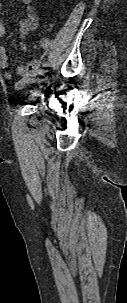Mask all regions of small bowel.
<instances>
[{
  "label": "small bowel",
  "instance_id": "small-bowel-1",
  "mask_svg": "<svg viewBox=\"0 0 127 303\" xmlns=\"http://www.w3.org/2000/svg\"><path fill=\"white\" fill-rule=\"evenodd\" d=\"M20 3L24 6L26 17L23 19L19 24V31L21 33H26L30 30H33L38 25V20L36 16L33 13L31 2L32 0H19ZM0 9H1V3H0ZM5 35V28L0 20V40ZM22 50H25V45L21 46ZM39 48L42 51L40 56L33 59L31 62L24 66H20L17 69V77L14 76V74L8 69V55L5 50V48L0 45V70L3 71V77L8 81H14V86L16 89H22L28 84L32 83L35 76L38 73V70L40 66L42 65V62L47 55L49 49H50V40L48 38H41L39 40Z\"/></svg>",
  "mask_w": 127,
  "mask_h": 303
}]
</instances>
